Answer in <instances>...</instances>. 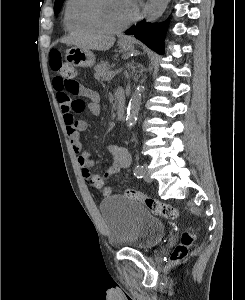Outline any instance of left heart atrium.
Instances as JSON below:
<instances>
[{
    "instance_id": "1",
    "label": "left heart atrium",
    "mask_w": 245,
    "mask_h": 300,
    "mask_svg": "<svg viewBox=\"0 0 245 300\" xmlns=\"http://www.w3.org/2000/svg\"><path fill=\"white\" fill-rule=\"evenodd\" d=\"M131 7L133 13H136L137 10V0H126Z\"/></svg>"
}]
</instances>
